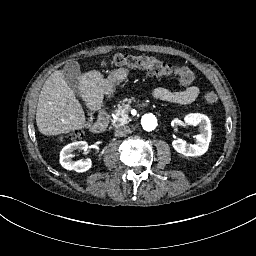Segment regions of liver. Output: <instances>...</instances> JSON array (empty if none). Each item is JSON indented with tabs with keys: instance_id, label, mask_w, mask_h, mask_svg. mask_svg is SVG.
<instances>
[{
	"instance_id": "obj_1",
	"label": "liver",
	"mask_w": 256,
	"mask_h": 256,
	"mask_svg": "<svg viewBox=\"0 0 256 256\" xmlns=\"http://www.w3.org/2000/svg\"><path fill=\"white\" fill-rule=\"evenodd\" d=\"M118 71V74L114 71V75L122 74V69ZM116 83V80L105 78L99 69H92L81 74L76 88L89 111L97 112L103 107L104 95L107 101L116 97ZM35 119L39 132L46 136L68 134L86 127L83 108L61 69L44 82Z\"/></svg>"
}]
</instances>
